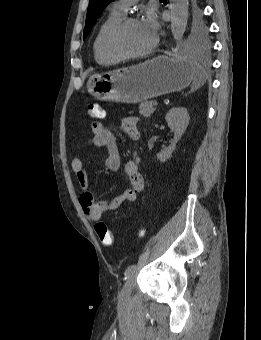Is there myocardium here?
Masks as SVG:
<instances>
[{
	"instance_id": "obj_1",
	"label": "myocardium",
	"mask_w": 261,
	"mask_h": 340,
	"mask_svg": "<svg viewBox=\"0 0 261 340\" xmlns=\"http://www.w3.org/2000/svg\"><path fill=\"white\" fill-rule=\"evenodd\" d=\"M136 22H139V20L136 17L126 16L120 19L116 24L112 26L104 40V46L108 54H110L111 56L115 57L118 60L132 59L144 56L150 53L156 47L158 42L157 36H154L151 44L147 48L138 52L127 53L117 46V40L121 32L128 25Z\"/></svg>"
}]
</instances>
